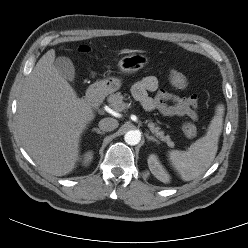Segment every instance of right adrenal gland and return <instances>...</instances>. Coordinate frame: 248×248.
<instances>
[{"label": "right adrenal gland", "instance_id": "obj_1", "mask_svg": "<svg viewBox=\"0 0 248 248\" xmlns=\"http://www.w3.org/2000/svg\"><path fill=\"white\" fill-rule=\"evenodd\" d=\"M92 131L96 132L97 134H105V132L101 131L99 128H93Z\"/></svg>", "mask_w": 248, "mask_h": 248}]
</instances>
